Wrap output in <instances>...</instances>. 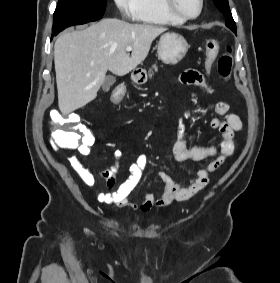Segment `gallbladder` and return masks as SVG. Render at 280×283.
Masks as SVG:
<instances>
[{
  "label": "gallbladder",
  "instance_id": "obj_1",
  "mask_svg": "<svg viewBox=\"0 0 280 283\" xmlns=\"http://www.w3.org/2000/svg\"><path fill=\"white\" fill-rule=\"evenodd\" d=\"M116 79L113 75H108L105 77L104 82L102 84V90L104 92L109 91L110 87L115 83Z\"/></svg>",
  "mask_w": 280,
  "mask_h": 283
}]
</instances>
